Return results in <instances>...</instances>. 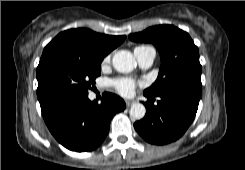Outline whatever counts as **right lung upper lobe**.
Returning <instances> with one entry per match:
<instances>
[{"label": "right lung upper lobe", "mask_w": 245, "mask_h": 170, "mask_svg": "<svg viewBox=\"0 0 245 170\" xmlns=\"http://www.w3.org/2000/svg\"><path fill=\"white\" fill-rule=\"evenodd\" d=\"M126 36H109L85 28L71 29L58 34L45 48L42 56L62 53L92 61H102Z\"/></svg>", "instance_id": "cb5924a9"}]
</instances>
